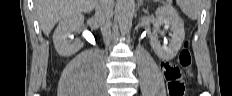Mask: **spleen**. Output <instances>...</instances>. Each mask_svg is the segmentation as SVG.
I'll use <instances>...</instances> for the list:
<instances>
[{
	"label": "spleen",
	"mask_w": 232,
	"mask_h": 96,
	"mask_svg": "<svg viewBox=\"0 0 232 96\" xmlns=\"http://www.w3.org/2000/svg\"><path fill=\"white\" fill-rule=\"evenodd\" d=\"M177 4L188 18L192 20L200 18L202 11L201 0H177Z\"/></svg>",
	"instance_id": "obj_1"
}]
</instances>
